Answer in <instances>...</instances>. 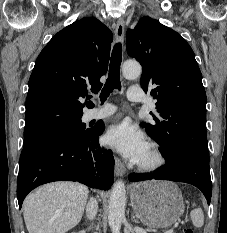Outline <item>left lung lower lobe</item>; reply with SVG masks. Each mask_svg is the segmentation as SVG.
<instances>
[{
	"label": "left lung lower lobe",
	"instance_id": "0a47b994",
	"mask_svg": "<svg viewBox=\"0 0 227 233\" xmlns=\"http://www.w3.org/2000/svg\"><path fill=\"white\" fill-rule=\"evenodd\" d=\"M170 180L185 182L199 188L205 195L208 204L211 201L212 182L210 177L209 160L192 152L184 151L177 154L169 162L165 161V166L157 169L154 174L129 175L132 182L142 180Z\"/></svg>",
	"mask_w": 227,
	"mask_h": 233
}]
</instances>
